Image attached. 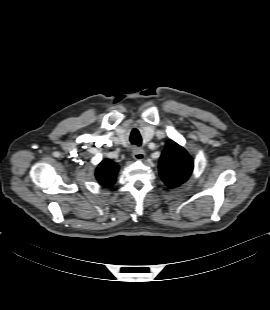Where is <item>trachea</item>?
Instances as JSON below:
<instances>
[{
    "instance_id": "1",
    "label": "trachea",
    "mask_w": 270,
    "mask_h": 310,
    "mask_svg": "<svg viewBox=\"0 0 270 310\" xmlns=\"http://www.w3.org/2000/svg\"><path fill=\"white\" fill-rule=\"evenodd\" d=\"M130 142L133 145L140 146L142 143V138L137 130H133L130 135Z\"/></svg>"
}]
</instances>
